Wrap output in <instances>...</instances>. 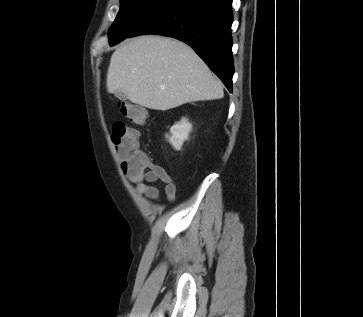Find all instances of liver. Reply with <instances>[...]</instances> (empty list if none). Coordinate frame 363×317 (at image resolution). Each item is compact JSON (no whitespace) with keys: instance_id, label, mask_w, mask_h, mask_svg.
<instances>
[{"instance_id":"6515ba94","label":"liver","mask_w":363,"mask_h":317,"mask_svg":"<svg viewBox=\"0 0 363 317\" xmlns=\"http://www.w3.org/2000/svg\"><path fill=\"white\" fill-rule=\"evenodd\" d=\"M107 91L132 103L169 110L193 101L221 99L222 83L185 43L156 35L126 41L112 54Z\"/></svg>"}]
</instances>
